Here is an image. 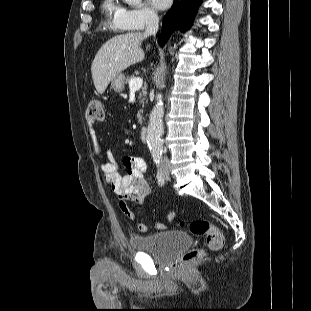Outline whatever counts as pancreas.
Masks as SVG:
<instances>
[{
    "label": "pancreas",
    "instance_id": "1",
    "mask_svg": "<svg viewBox=\"0 0 311 311\" xmlns=\"http://www.w3.org/2000/svg\"><path fill=\"white\" fill-rule=\"evenodd\" d=\"M133 78H134V76H128V77L126 78V80H125V83H128V84H129V82H130L131 79H133ZM146 94H147L146 89L143 88V89L141 90V92L139 93V98H140V102H141V103H144ZM142 113H143V111H139L138 114H137L138 123H139V124H142V122H143Z\"/></svg>",
    "mask_w": 311,
    "mask_h": 311
}]
</instances>
